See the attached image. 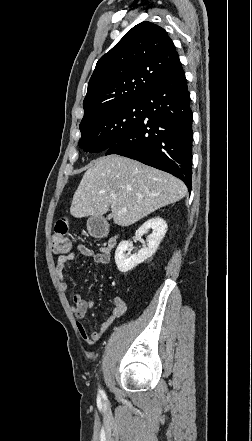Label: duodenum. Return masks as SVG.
<instances>
[{
    "label": "duodenum",
    "instance_id": "obj_1",
    "mask_svg": "<svg viewBox=\"0 0 252 441\" xmlns=\"http://www.w3.org/2000/svg\"><path fill=\"white\" fill-rule=\"evenodd\" d=\"M90 229H91V234L97 238L104 237L108 232L107 226L103 222L97 219L91 221ZM116 243H117L116 237L110 239V241L108 242V248L109 249L113 248L116 245Z\"/></svg>",
    "mask_w": 252,
    "mask_h": 441
}]
</instances>
